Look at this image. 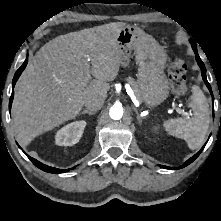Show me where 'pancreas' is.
Instances as JSON below:
<instances>
[{"label": "pancreas", "instance_id": "1", "mask_svg": "<svg viewBox=\"0 0 221 221\" xmlns=\"http://www.w3.org/2000/svg\"><path fill=\"white\" fill-rule=\"evenodd\" d=\"M127 81H128V83L133 87V89H134V91H135V93H136V95H137V84H136V82L131 78V77H129L128 79H127ZM138 97V96H137Z\"/></svg>", "mask_w": 221, "mask_h": 221}]
</instances>
